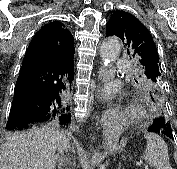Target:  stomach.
<instances>
[{
	"instance_id": "obj_1",
	"label": "stomach",
	"mask_w": 177,
	"mask_h": 169,
	"mask_svg": "<svg viewBox=\"0 0 177 169\" xmlns=\"http://www.w3.org/2000/svg\"><path fill=\"white\" fill-rule=\"evenodd\" d=\"M109 148H110L111 150H113V149H114V147H113L112 145H110V146H109Z\"/></svg>"
}]
</instances>
